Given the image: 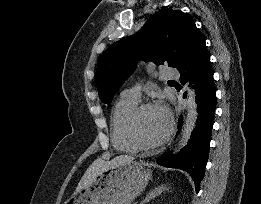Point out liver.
Masks as SVG:
<instances>
[{
    "label": "liver",
    "instance_id": "liver-1",
    "mask_svg": "<svg viewBox=\"0 0 261 204\" xmlns=\"http://www.w3.org/2000/svg\"><path fill=\"white\" fill-rule=\"evenodd\" d=\"M134 160V157L128 155H119L114 157L110 161H104L103 159H96L87 169L83 177L81 178L75 193L77 194L84 188L89 187L103 170H107L124 163H128Z\"/></svg>",
    "mask_w": 261,
    "mask_h": 204
}]
</instances>
